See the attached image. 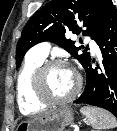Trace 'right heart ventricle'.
Masks as SVG:
<instances>
[{
  "label": "right heart ventricle",
  "mask_w": 117,
  "mask_h": 131,
  "mask_svg": "<svg viewBox=\"0 0 117 131\" xmlns=\"http://www.w3.org/2000/svg\"><path fill=\"white\" fill-rule=\"evenodd\" d=\"M44 62V59L27 58L17 78V101L20 111L24 114H32L43 111L46 104L39 101L33 92V78L36 70Z\"/></svg>",
  "instance_id": "obj_1"
}]
</instances>
